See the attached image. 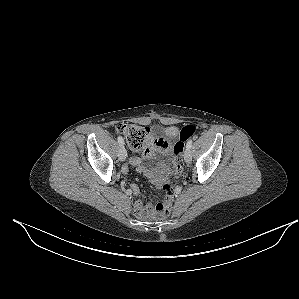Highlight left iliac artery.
<instances>
[{"label":"left iliac artery","instance_id":"44dca946","mask_svg":"<svg viewBox=\"0 0 299 299\" xmlns=\"http://www.w3.org/2000/svg\"><path fill=\"white\" fill-rule=\"evenodd\" d=\"M192 140H189L188 142H187V144H186V148L187 149H190L191 147H192Z\"/></svg>","mask_w":299,"mask_h":299}]
</instances>
